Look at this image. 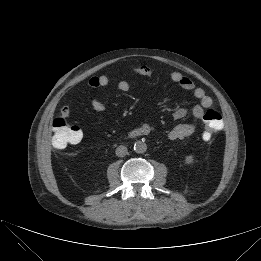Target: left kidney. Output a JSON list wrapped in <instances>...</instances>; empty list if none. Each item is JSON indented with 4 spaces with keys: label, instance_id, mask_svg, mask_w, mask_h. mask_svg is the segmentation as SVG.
I'll return each mask as SVG.
<instances>
[{
    "label": "left kidney",
    "instance_id": "1",
    "mask_svg": "<svg viewBox=\"0 0 261 261\" xmlns=\"http://www.w3.org/2000/svg\"><path fill=\"white\" fill-rule=\"evenodd\" d=\"M194 156L193 155H189L185 157V163L186 164H192L194 162Z\"/></svg>",
    "mask_w": 261,
    "mask_h": 261
}]
</instances>
